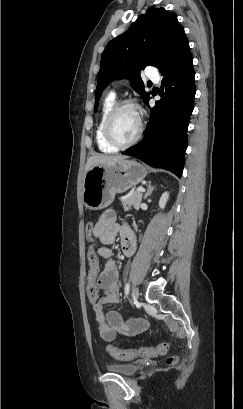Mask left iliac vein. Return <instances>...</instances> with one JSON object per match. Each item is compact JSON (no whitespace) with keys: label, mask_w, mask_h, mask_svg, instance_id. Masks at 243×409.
<instances>
[{"label":"left iliac vein","mask_w":243,"mask_h":409,"mask_svg":"<svg viewBox=\"0 0 243 409\" xmlns=\"http://www.w3.org/2000/svg\"><path fill=\"white\" fill-rule=\"evenodd\" d=\"M132 295H133V300H138V292L136 289H133Z\"/></svg>","instance_id":"4c4485c4"}]
</instances>
